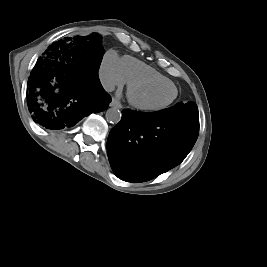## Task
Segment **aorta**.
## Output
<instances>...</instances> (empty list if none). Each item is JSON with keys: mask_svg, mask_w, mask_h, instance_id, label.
Segmentation results:
<instances>
[{"mask_svg": "<svg viewBox=\"0 0 267 267\" xmlns=\"http://www.w3.org/2000/svg\"><path fill=\"white\" fill-rule=\"evenodd\" d=\"M121 116V111L117 107L109 108L105 114L106 120L114 124H117L121 120Z\"/></svg>", "mask_w": 267, "mask_h": 267, "instance_id": "obj_1", "label": "aorta"}]
</instances>
